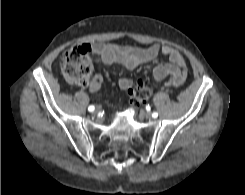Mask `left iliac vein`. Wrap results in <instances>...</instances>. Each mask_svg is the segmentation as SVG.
Listing matches in <instances>:
<instances>
[{"instance_id": "1", "label": "left iliac vein", "mask_w": 245, "mask_h": 195, "mask_svg": "<svg viewBox=\"0 0 245 195\" xmlns=\"http://www.w3.org/2000/svg\"><path fill=\"white\" fill-rule=\"evenodd\" d=\"M146 117L147 118H151V114L150 113H146Z\"/></svg>"}]
</instances>
